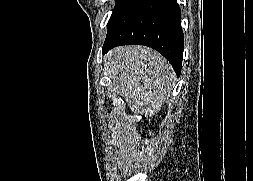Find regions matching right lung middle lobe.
Listing matches in <instances>:
<instances>
[{"label": "right lung middle lobe", "instance_id": "right-lung-middle-lobe-1", "mask_svg": "<svg viewBox=\"0 0 253 181\" xmlns=\"http://www.w3.org/2000/svg\"><path fill=\"white\" fill-rule=\"evenodd\" d=\"M135 0H116L113 13L108 21L107 27H111L122 14L134 3Z\"/></svg>", "mask_w": 253, "mask_h": 181}]
</instances>
